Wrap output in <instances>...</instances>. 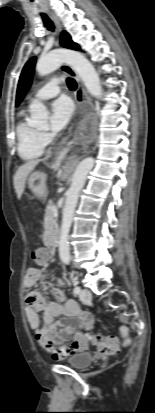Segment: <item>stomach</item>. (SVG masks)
<instances>
[{
    "mask_svg": "<svg viewBox=\"0 0 155 413\" xmlns=\"http://www.w3.org/2000/svg\"><path fill=\"white\" fill-rule=\"evenodd\" d=\"M28 187L38 198L45 199L47 196L46 174L33 172L28 178Z\"/></svg>",
    "mask_w": 155,
    "mask_h": 413,
    "instance_id": "0dacf381",
    "label": "stomach"
}]
</instances>
